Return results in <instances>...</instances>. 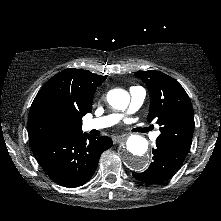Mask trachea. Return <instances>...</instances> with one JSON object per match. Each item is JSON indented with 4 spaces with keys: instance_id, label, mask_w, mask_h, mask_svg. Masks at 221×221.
I'll return each instance as SVG.
<instances>
[{
    "instance_id": "3493384b",
    "label": "trachea",
    "mask_w": 221,
    "mask_h": 221,
    "mask_svg": "<svg viewBox=\"0 0 221 221\" xmlns=\"http://www.w3.org/2000/svg\"><path fill=\"white\" fill-rule=\"evenodd\" d=\"M143 131H148V129H143Z\"/></svg>"
}]
</instances>
